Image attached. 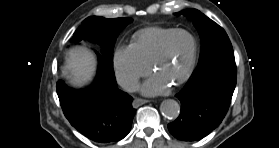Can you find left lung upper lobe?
Listing matches in <instances>:
<instances>
[{"label":"left lung upper lobe","instance_id":"left-lung-upper-lobe-1","mask_svg":"<svg viewBox=\"0 0 279 148\" xmlns=\"http://www.w3.org/2000/svg\"><path fill=\"white\" fill-rule=\"evenodd\" d=\"M180 14L189 17L199 32L202 41L200 66L214 58L234 55L231 42L222 27L196 9L176 13Z\"/></svg>","mask_w":279,"mask_h":148}]
</instances>
